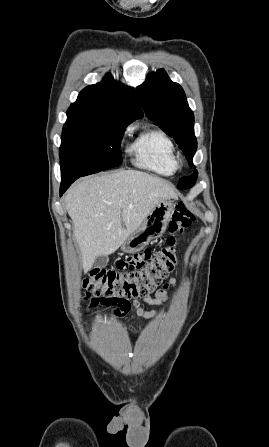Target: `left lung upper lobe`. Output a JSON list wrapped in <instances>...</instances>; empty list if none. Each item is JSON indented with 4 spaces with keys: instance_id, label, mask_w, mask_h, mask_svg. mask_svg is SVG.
Returning <instances> with one entry per match:
<instances>
[{
    "instance_id": "5c2ea615",
    "label": "left lung upper lobe",
    "mask_w": 269,
    "mask_h": 447,
    "mask_svg": "<svg viewBox=\"0 0 269 447\" xmlns=\"http://www.w3.org/2000/svg\"><path fill=\"white\" fill-rule=\"evenodd\" d=\"M143 109L149 119L169 136L173 137L183 150L191 168L192 158L197 149L194 135V115L189 108L182 87L172 82L165 70L150 73L146 81L137 88ZM198 172L179 180L178 188L186 189L195 184Z\"/></svg>"
}]
</instances>
